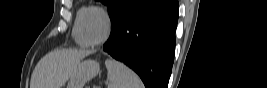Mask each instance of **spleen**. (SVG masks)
I'll use <instances>...</instances> for the list:
<instances>
[{
  "label": "spleen",
  "instance_id": "spleen-1",
  "mask_svg": "<svg viewBox=\"0 0 267 88\" xmlns=\"http://www.w3.org/2000/svg\"><path fill=\"white\" fill-rule=\"evenodd\" d=\"M108 88H144L140 77L129 67L114 59H107Z\"/></svg>",
  "mask_w": 267,
  "mask_h": 88
}]
</instances>
